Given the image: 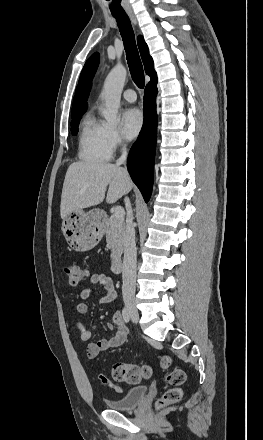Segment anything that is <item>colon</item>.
<instances>
[{
	"instance_id": "1",
	"label": "colon",
	"mask_w": 263,
	"mask_h": 440,
	"mask_svg": "<svg viewBox=\"0 0 263 440\" xmlns=\"http://www.w3.org/2000/svg\"><path fill=\"white\" fill-rule=\"evenodd\" d=\"M66 276L68 277L70 285L76 287L84 282L87 277V271L82 266L77 264H67L64 267ZM161 366L168 370L171 366V359L164 356L161 359ZM152 375V368L148 365H139L129 362H117L112 367V377L115 381L125 382L128 384H138L143 380L149 379ZM185 375L181 369H170L166 376V381L172 386L166 390L162 397L158 400L157 406L173 404L178 402L182 397V391L179 386L184 382ZM99 381L108 387L120 391L121 388L115 385L108 377L104 375L99 376Z\"/></svg>"
}]
</instances>
